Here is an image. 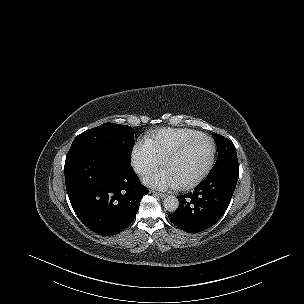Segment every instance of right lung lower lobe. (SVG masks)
I'll list each match as a JSON object with an SVG mask.
<instances>
[{"instance_id": "right-lung-lower-lobe-1", "label": "right lung lower lobe", "mask_w": 304, "mask_h": 304, "mask_svg": "<svg viewBox=\"0 0 304 304\" xmlns=\"http://www.w3.org/2000/svg\"><path fill=\"white\" fill-rule=\"evenodd\" d=\"M64 173L76 215L102 236L115 235L131 224L148 193L131 165L120 163L110 149L95 144L71 145Z\"/></svg>"}]
</instances>
